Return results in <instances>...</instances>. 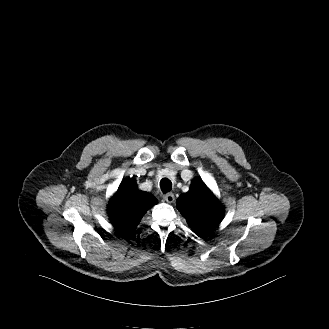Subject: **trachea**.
I'll return each mask as SVG.
<instances>
[{
	"mask_svg": "<svg viewBox=\"0 0 329 329\" xmlns=\"http://www.w3.org/2000/svg\"><path fill=\"white\" fill-rule=\"evenodd\" d=\"M160 187L163 193H167L172 190V182L168 178H163L160 181Z\"/></svg>",
	"mask_w": 329,
	"mask_h": 329,
	"instance_id": "3493384b",
	"label": "trachea"
}]
</instances>
